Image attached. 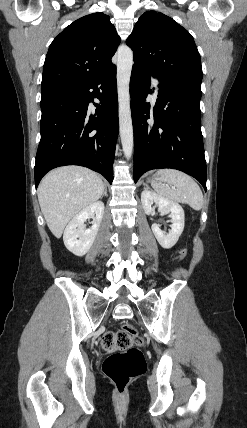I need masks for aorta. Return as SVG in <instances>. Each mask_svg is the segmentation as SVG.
<instances>
[{
    "mask_svg": "<svg viewBox=\"0 0 247 428\" xmlns=\"http://www.w3.org/2000/svg\"><path fill=\"white\" fill-rule=\"evenodd\" d=\"M117 57L119 129L123 152L125 157L129 159L133 152V125L129 93L133 52L129 47L123 46L119 48Z\"/></svg>",
    "mask_w": 247,
    "mask_h": 428,
    "instance_id": "obj_1",
    "label": "aorta"
}]
</instances>
